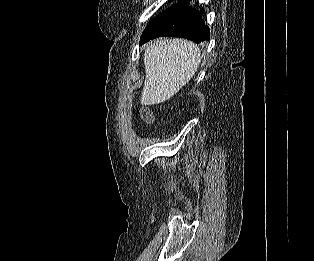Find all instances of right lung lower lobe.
Listing matches in <instances>:
<instances>
[{
	"label": "right lung lower lobe",
	"mask_w": 314,
	"mask_h": 261,
	"mask_svg": "<svg viewBox=\"0 0 314 261\" xmlns=\"http://www.w3.org/2000/svg\"><path fill=\"white\" fill-rule=\"evenodd\" d=\"M162 36L182 37L201 43L209 40L210 33L200 13L189 8L187 0H180L148 24L140 39V45Z\"/></svg>",
	"instance_id": "right-lung-lower-lobe-1"
}]
</instances>
